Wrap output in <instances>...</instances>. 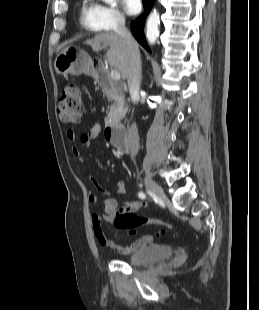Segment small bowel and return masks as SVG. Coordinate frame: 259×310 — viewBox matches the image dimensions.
I'll return each mask as SVG.
<instances>
[{
  "label": "small bowel",
  "mask_w": 259,
  "mask_h": 310,
  "mask_svg": "<svg viewBox=\"0 0 259 310\" xmlns=\"http://www.w3.org/2000/svg\"><path fill=\"white\" fill-rule=\"evenodd\" d=\"M101 126L99 124L93 125L87 132L82 133L79 136V143L83 147H89L93 141H95L101 134ZM67 139L70 142H74L76 139V135L74 131L68 130L66 133ZM72 154L80 159L81 161H84V157L82 155V152L77 145L72 146ZM90 180L92 184L98 188L103 189L100 182L97 180V178L90 172L89 173ZM126 190V184L124 181H119L115 185V195H121ZM110 194V193H108ZM102 202L103 204V212H93L91 215V222H92V229L94 232V236L96 238L97 243L100 247L105 249H110L116 253H119L121 255H130L134 253L136 250H138L140 247L151 244L152 237L151 236H143L134 242L127 244V245H119L112 240L108 239L103 231V224L104 223H111L114 219L115 215L125 212V211H137L141 209L145 203L143 201H135V202H128L126 206L123 209H118L117 201L114 197H106L104 199H101L100 196L96 193H90L88 195V202L90 204H97L99 202Z\"/></svg>",
  "instance_id": "c3829d8e"
}]
</instances>
